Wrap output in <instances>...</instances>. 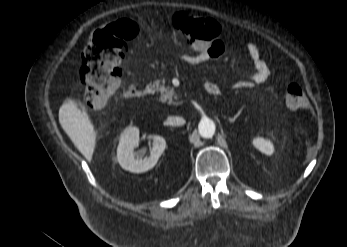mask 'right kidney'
Wrapping results in <instances>:
<instances>
[{
  "instance_id": "obj_1",
  "label": "right kidney",
  "mask_w": 347,
  "mask_h": 247,
  "mask_svg": "<svg viewBox=\"0 0 347 247\" xmlns=\"http://www.w3.org/2000/svg\"><path fill=\"white\" fill-rule=\"evenodd\" d=\"M153 139V146L149 157H143V151L135 152L139 142V129L127 128L120 137L117 148V159L120 166L132 173H143L152 169L166 148V141L159 135H149Z\"/></svg>"
}]
</instances>
